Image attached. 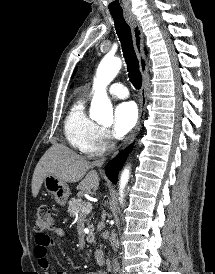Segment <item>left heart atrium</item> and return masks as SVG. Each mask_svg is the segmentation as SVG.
I'll return each mask as SVG.
<instances>
[{"instance_id":"1","label":"left heart atrium","mask_w":215,"mask_h":274,"mask_svg":"<svg viewBox=\"0 0 215 274\" xmlns=\"http://www.w3.org/2000/svg\"><path fill=\"white\" fill-rule=\"evenodd\" d=\"M138 110L133 102H123L114 110L113 135L120 139L136 125Z\"/></svg>"}]
</instances>
